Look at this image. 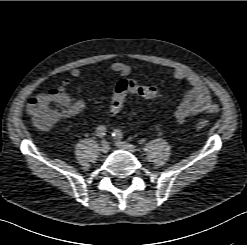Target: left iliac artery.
<instances>
[{"mask_svg":"<svg viewBox=\"0 0 247 245\" xmlns=\"http://www.w3.org/2000/svg\"><path fill=\"white\" fill-rule=\"evenodd\" d=\"M112 135L116 138V139H122L123 135L122 132L118 129H115L114 132L112 133Z\"/></svg>","mask_w":247,"mask_h":245,"instance_id":"left-iliac-artery-1","label":"left iliac artery"}]
</instances>
